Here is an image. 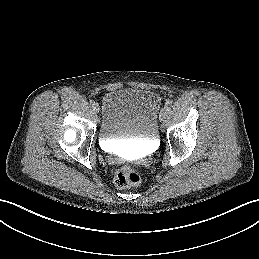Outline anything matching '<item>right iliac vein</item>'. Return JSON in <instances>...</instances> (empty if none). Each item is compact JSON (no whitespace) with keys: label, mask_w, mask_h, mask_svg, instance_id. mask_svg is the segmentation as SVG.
Segmentation results:
<instances>
[{"label":"right iliac vein","mask_w":259,"mask_h":259,"mask_svg":"<svg viewBox=\"0 0 259 259\" xmlns=\"http://www.w3.org/2000/svg\"><path fill=\"white\" fill-rule=\"evenodd\" d=\"M99 110H100L99 106H98L97 104H95V105L93 106V111H94L95 113H98Z\"/></svg>","instance_id":"1"}]
</instances>
